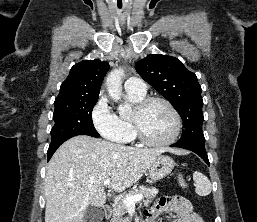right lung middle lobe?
Segmentation results:
<instances>
[{"instance_id":"obj_1","label":"right lung middle lobe","mask_w":257,"mask_h":222,"mask_svg":"<svg viewBox=\"0 0 257 222\" xmlns=\"http://www.w3.org/2000/svg\"><path fill=\"white\" fill-rule=\"evenodd\" d=\"M97 100L98 95L55 102V125L51 129L50 145L77 135L99 137L92 121V110Z\"/></svg>"}]
</instances>
